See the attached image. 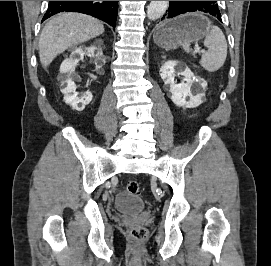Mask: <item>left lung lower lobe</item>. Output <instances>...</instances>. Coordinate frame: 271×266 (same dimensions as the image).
Here are the masks:
<instances>
[{"mask_svg":"<svg viewBox=\"0 0 271 266\" xmlns=\"http://www.w3.org/2000/svg\"><path fill=\"white\" fill-rule=\"evenodd\" d=\"M194 11L209 13L222 22L217 1H170L168 12L161 20Z\"/></svg>","mask_w":271,"mask_h":266,"instance_id":"obj_1","label":"left lung lower lobe"}]
</instances>
